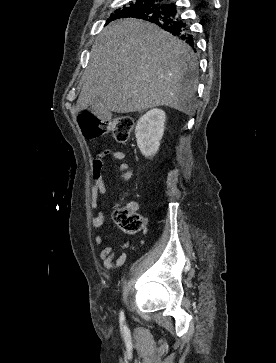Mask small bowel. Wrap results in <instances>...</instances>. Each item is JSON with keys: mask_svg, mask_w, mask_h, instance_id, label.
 <instances>
[{"mask_svg": "<svg viewBox=\"0 0 276 363\" xmlns=\"http://www.w3.org/2000/svg\"><path fill=\"white\" fill-rule=\"evenodd\" d=\"M115 159L121 161L117 165V170L120 172L119 179L127 181L132 178L133 170L129 164L123 162L127 158V154L124 151L114 150V149H104L98 152L92 159V177H93V187L91 193V205L93 208H98L99 197L105 196L107 193L104 180H103V168L106 159ZM130 208L133 210L138 209L137 203H131ZM105 220V215L102 211H99L97 216L92 220V224L95 228L100 227ZM95 242L97 245H102L105 239L102 235L95 237ZM128 247V244L121 246L122 249ZM99 259L103 262L106 269L119 268L126 261V254L124 252H117L113 247L107 246L99 252Z\"/></svg>", "mask_w": 276, "mask_h": 363, "instance_id": "small-bowel-1", "label": "small bowel"}]
</instances>
